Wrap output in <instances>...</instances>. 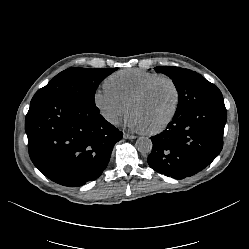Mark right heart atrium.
<instances>
[{
    "label": "right heart atrium",
    "instance_id": "1",
    "mask_svg": "<svg viewBox=\"0 0 249 249\" xmlns=\"http://www.w3.org/2000/svg\"><path fill=\"white\" fill-rule=\"evenodd\" d=\"M93 102L100 116L110 124H115L127 108V102L111 92L106 86L95 91Z\"/></svg>",
    "mask_w": 249,
    "mask_h": 249
}]
</instances>
